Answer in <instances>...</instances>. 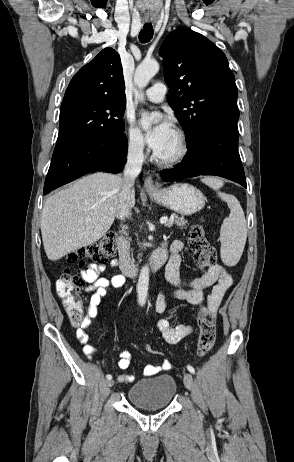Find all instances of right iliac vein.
Returning <instances> with one entry per match:
<instances>
[{"label": "right iliac vein", "instance_id": "right-iliac-vein-1", "mask_svg": "<svg viewBox=\"0 0 294 462\" xmlns=\"http://www.w3.org/2000/svg\"><path fill=\"white\" fill-rule=\"evenodd\" d=\"M108 387H112L114 385V381L110 380L107 382Z\"/></svg>", "mask_w": 294, "mask_h": 462}]
</instances>
